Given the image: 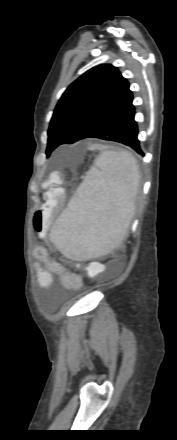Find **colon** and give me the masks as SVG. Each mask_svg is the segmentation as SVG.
Wrapping results in <instances>:
<instances>
[{
  "mask_svg": "<svg viewBox=\"0 0 177 440\" xmlns=\"http://www.w3.org/2000/svg\"><path fill=\"white\" fill-rule=\"evenodd\" d=\"M62 174L60 171H53L47 182L48 190L44 194V203L34 215V228L44 233L49 227L52 217L58 213L64 203V194L60 187L62 183ZM71 276H77L70 273ZM79 277V276H78Z\"/></svg>",
  "mask_w": 177,
  "mask_h": 440,
  "instance_id": "1",
  "label": "colon"
}]
</instances>
